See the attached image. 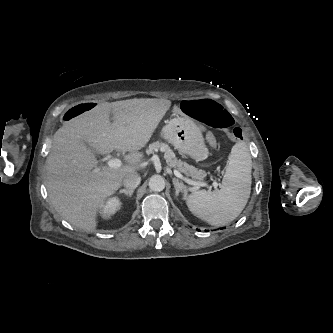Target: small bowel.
Segmentation results:
<instances>
[{"label": "small bowel", "instance_id": "c3829d8e", "mask_svg": "<svg viewBox=\"0 0 333 333\" xmlns=\"http://www.w3.org/2000/svg\"><path fill=\"white\" fill-rule=\"evenodd\" d=\"M172 111L176 116H179L181 118L187 119L189 117V113L187 111L180 110L177 106H174L172 108ZM193 126L203 133H205L206 137L208 138V142L212 149H217L218 145H220L221 141L217 136L214 135V133L208 129L206 125H204L202 122L195 121L193 123Z\"/></svg>", "mask_w": 333, "mask_h": 333}]
</instances>
